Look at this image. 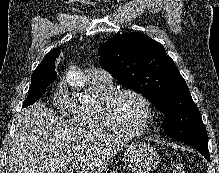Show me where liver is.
<instances>
[{
    "label": "liver",
    "mask_w": 219,
    "mask_h": 173,
    "mask_svg": "<svg viewBox=\"0 0 219 173\" xmlns=\"http://www.w3.org/2000/svg\"><path fill=\"white\" fill-rule=\"evenodd\" d=\"M124 139L73 126L42 102L17 115L8 151L10 173H101Z\"/></svg>",
    "instance_id": "obj_1"
}]
</instances>
